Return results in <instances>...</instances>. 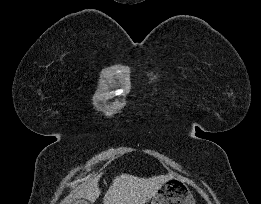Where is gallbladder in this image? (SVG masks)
Masks as SVG:
<instances>
[{"mask_svg":"<svg viewBox=\"0 0 261 204\" xmlns=\"http://www.w3.org/2000/svg\"><path fill=\"white\" fill-rule=\"evenodd\" d=\"M71 204H89V203L84 199H75L72 201Z\"/></svg>","mask_w":261,"mask_h":204,"instance_id":"gallbladder-1","label":"gallbladder"}]
</instances>
